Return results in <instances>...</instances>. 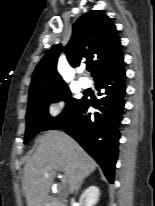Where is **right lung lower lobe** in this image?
Segmentation results:
<instances>
[{"mask_svg": "<svg viewBox=\"0 0 155 206\" xmlns=\"http://www.w3.org/2000/svg\"><path fill=\"white\" fill-rule=\"evenodd\" d=\"M123 59L111 71L95 80L99 93L100 112L91 114V102L82 98L74 110L53 129L64 130L72 136L101 166L110 183L118 154L119 125L122 121L125 95ZM94 106V105H93Z\"/></svg>", "mask_w": 155, "mask_h": 206, "instance_id": "1", "label": "right lung lower lobe"}]
</instances>
